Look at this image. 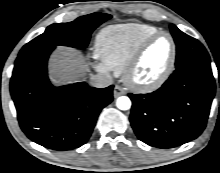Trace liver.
I'll return each mask as SVG.
<instances>
[{
  "mask_svg": "<svg viewBox=\"0 0 220 173\" xmlns=\"http://www.w3.org/2000/svg\"><path fill=\"white\" fill-rule=\"evenodd\" d=\"M49 74L56 84L78 81L89 70L83 56L75 49L58 46L49 59Z\"/></svg>",
  "mask_w": 220,
  "mask_h": 173,
  "instance_id": "liver-1",
  "label": "liver"
}]
</instances>
